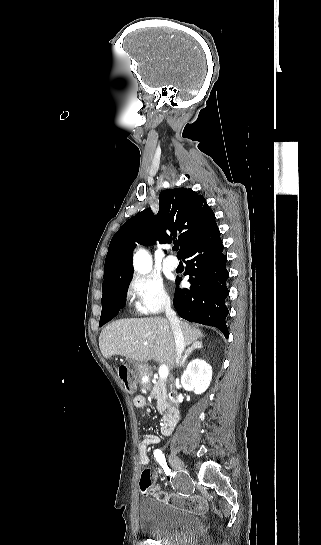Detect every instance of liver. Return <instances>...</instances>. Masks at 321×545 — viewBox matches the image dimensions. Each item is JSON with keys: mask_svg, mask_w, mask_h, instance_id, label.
I'll list each match as a JSON object with an SVG mask.
<instances>
[{"mask_svg": "<svg viewBox=\"0 0 321 545\" xmlns=\"http://www.w3.org/2000/svg\"><path fill=\"white\" fill-rule=\"evenodd\" d=\"M180 329L185 345L204 337L200 329L180 321ZM148 343V345H144ZM99 349L109 359L112 355H121L134 361H158L173 369L176 361V345L173 331L167 319L149 317V319H119L104 327L99 337Z\"/></svg>", "mask_w": 321, "mask_h": 545, "instance_id": "obj_1", "label": "liver"}]
</instances>
